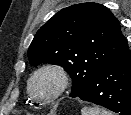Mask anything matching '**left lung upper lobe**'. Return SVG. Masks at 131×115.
Wrapping results in <instances>:
<instances>
[{
    "label": "left lung upper lobe",
    "instance_id": "1",
    "mask_svg": "<svg viewBox=\"0 0 131 115\" xmlns=\"http://www.w3.org/2000/svg\"><path fill=\"white\" fill-rule=\"evenodd\" d=\"M127 47L119 21L108 8L81 3L62 9L44 24L27 54L31 65L62 66L73 80L74 98Z\"/></svg>",
    "mask_w": 131,
    "mask_h": 115
}]
</instances>
